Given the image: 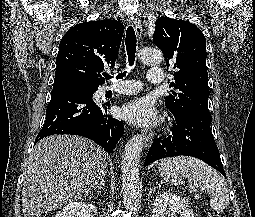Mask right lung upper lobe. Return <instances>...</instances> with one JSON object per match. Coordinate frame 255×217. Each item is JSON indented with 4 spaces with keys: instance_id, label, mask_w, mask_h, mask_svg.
<instances>
[{
    "instance_id": "cb5924a9",
    "label": "right lung upper lobe",
    "mask_w": 255,
    "mask_h": 217,
    "mask_svg": "<svg viewBox=\"0 0 255 217\" xmlns=\"http://www.w3.org/2000/svg\"><path fill=\"white\" fill-rule=\"evenodd\" d=\"M124 25L105 19L80 23L59 44L53 88L66 85L97 87L105 82L104 67L113 68Z\"/></svg>"
}]
</instances>
